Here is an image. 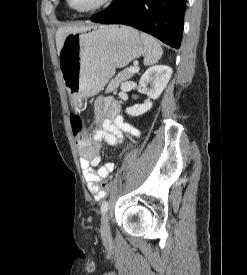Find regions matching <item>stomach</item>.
<instances>
[{
  "label": "stomach",
  "instance_id": "obj_1",
  "mask_svg": "<svg viewBox=\"0 0 247 275\" xmlns=\"http://www.w3.org/2000/svg\"><path fill=\"white\" fill-rule=\"evenodd\" d=\"M143 42L137 30L127 26H96L65 37L59 67L73 107L98 94L114 75L140 57Z\"/></svg>",
  "mask_w": 247,
  "mask_h": 275
}]
</instances>
